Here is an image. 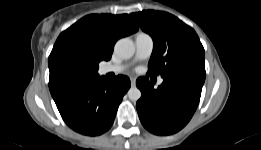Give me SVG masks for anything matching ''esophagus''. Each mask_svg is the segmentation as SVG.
<instances>
[{"mask_svg":"<svg viewBox=\"0 0 261 150\" xmlns=\"http://www.w3.org/2000/svg\"><path fill=\"white\" fill-rule=\"evenodd\" d=\"M130 81H131V85L134 87L135 84H136V79L135 78H131Z\"/></svg>","mask_w":261,"mask_h":150,"instance_id":"1","label":"esophagus"}]
</instances>
